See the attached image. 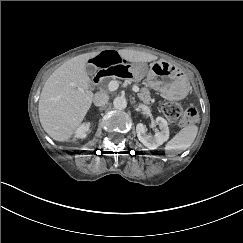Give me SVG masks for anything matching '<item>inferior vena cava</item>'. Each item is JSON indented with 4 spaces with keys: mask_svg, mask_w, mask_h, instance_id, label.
I'll use <instances>...</instances> for the list:
<instances>
[{
    "mask_svg": "<svg viewBox=\"0 0 243 243\" xmlns=\"http://www.w3.org/2000/svg\"><path fill=\"white\" fill-rule=\"evenodd\" d=\"M109 100V97L106 93L97 92L93 97V103L95 106H103Z\"/></svg>",
    "mask_w": 243,
    "mask_h": 243,
    "instance_id": "1",
    "label": "inferior vena cava"
}]
</instances>
